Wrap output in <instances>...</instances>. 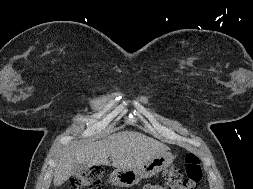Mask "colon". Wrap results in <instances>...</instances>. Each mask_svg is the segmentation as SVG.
I'll use <instances>...</instances> for the list:
<instances>
[{"mask_svg": "<svg viewBox=\"0 0 253 189\" xmlns=\"http://www.w3.org/2000/svg\"><path fill=\"white\" fill-rule=\"evenodd\" d=\"M164 177L166 189H197L203 179L199 158L193 153L187 154L184 170L172 167L165 172ZM72 186L74 189H105L103 168L93 167L75 177Z\"/></svg>", "mask_w": 253, "mask_h": 189, "instance_id": "1", "label": "colon"}]
</instances>
